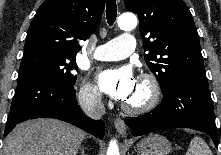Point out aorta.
<instances>
[{
  "mask_svg": "<svg viewBox=\"0 0 221 155\" xmlns=\"http://www.w3.org/2000/svg\"><path fill=\"white\" fill-rule=\"evenodd\" d=\"M118 26L124 31H131L137 26V18L132 14H123L118 18ZM107 155H120L116 140H112Z\"/></svg>",
  "mask_w": 221,
  "mask_h": 155,
  "instance_id": "aorta-1",
  "label": "aorta"
}]
</instances>
